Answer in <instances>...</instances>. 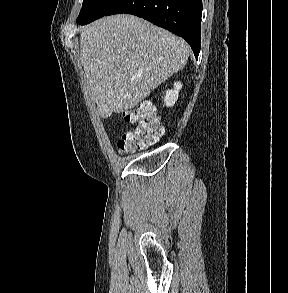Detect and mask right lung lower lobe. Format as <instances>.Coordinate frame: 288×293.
<instances>
[{"label": "right lung lower lobe", "mask_w": 288, "mask_h": 293, "mask_svg": "<svg viewBox=\"0 0 288 293\" xmlns=\"http://www.w3.org/2000/svg\"><path fill=\"white\" fill-rule=\"evenodd\" d=\"M119 13L142 17L184 38L198 58L202 0H122L106 16Z\"/></svg>", "instance_id": "right-lung-lower-lobe-1"}]
</instances>
